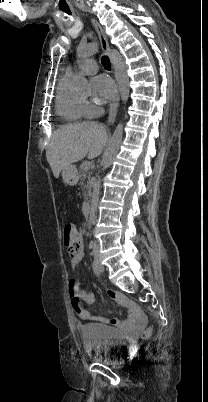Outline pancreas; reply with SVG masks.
Returning a JSON list of instances; mask_svg holds the SVG:
<instances>
[{"mask_svg": "<svg viewBox=\"0 0 208 402\" xmlns=\"http://www.w3.org/2000/svg\"><path fill=\"white\" fill-rule=\"evenodd\" d=\"M80 178H82L80 184H82L85 192H83L84 198H88V196H91V174L88 172V170H83L81 166L80 170ZM87 180L86 184H83Z\"/></svg>", "mask_w": 208, "mask_h": 402, "instance_id": "cf45deb5", "label": "pancreas"}]
</instances>
